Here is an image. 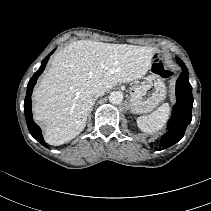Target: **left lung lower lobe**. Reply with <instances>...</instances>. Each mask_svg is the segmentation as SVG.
<instances>
[{"instance_id":"0a47b994","label":"left lung lower lobe","mask_w":211,"mask_h":211,"mask_svg":"<svg viewBox=\"0 0 211 211\" xmlns=\"http://www.w3.org/2000/svg\"><path fill=\"white\" fill-rule=\"evenodd\" d=\"M178 64L182 67V73L176 81L177 102L172 109V117L168 122V131L162 136L156 150L166 149L180 141L192 120L193 96L188 69L182 60L178 61Z\"/></svg>"}]
</instances>
